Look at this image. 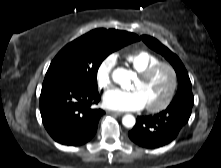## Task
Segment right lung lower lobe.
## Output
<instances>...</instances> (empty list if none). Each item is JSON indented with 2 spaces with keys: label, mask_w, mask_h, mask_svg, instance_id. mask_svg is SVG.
I'll return each instance as SVG.
<instances>
[{
  "label": "right lung lower lobe",
  "mask_w": 221,
  "mask_h": 168,
  "mask_svg": "<svg viewBox=\"0 0 221 168\" xmlns=\"http://www.w3.org/2000/svg\"><path fill=\"white\" fill-rule=\"evenodd\" d=\"M100 101L98 88L63 78H45L40 95L44 127L58 143L82 145L93 138L105 113L92 105Z\"/></svg>",
  "instance_id": "obj_1"
}]
</instances>
